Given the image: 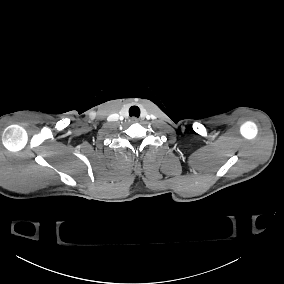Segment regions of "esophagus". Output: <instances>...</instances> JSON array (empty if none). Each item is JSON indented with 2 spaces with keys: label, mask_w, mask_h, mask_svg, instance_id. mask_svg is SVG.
Returning a JSON list of instances; mask_svg holds the SVG:
<instances>
[{
  "label": "esophagus",
  "mask_w": 284,
  "mask_h": 284,
  "mask_svg": "<svg viewBox=\"0 0 284 284\" xmlns=\"http://www.w3.org/2000/svg\"><path fill=\"white\" fill-rule=\"evenodd\" d=\"M131 122L136 123L138 122V119L136 117H131Z\"/></svg>",
  "instance_id": "34e87169"
}]
</instances>
